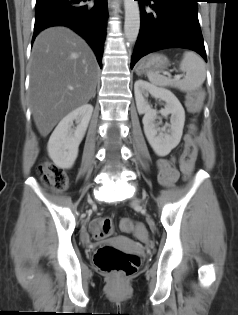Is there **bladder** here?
Masks as SVG:
<instances>
[{
    "instance_id": "1",
    "label": "bladder",
    "mask_w": 238,
    "mask_h": 315,
    "mask_svg": "<svg viewBox=\"0 0 238 315\" xmlns=\"http://www.w3.org/2000/svg\"><path fill=\"white\" fill-rule=\"evenodd\" d=\"M122 249H131V248H122Z\"/></svg>"
}]
</instances>
